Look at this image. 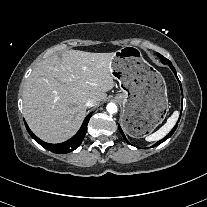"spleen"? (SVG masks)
Segmentation results:
<instances>
[{"label": "spleen", "mask_w": 207, "mask_h": 207, "mask_svg": "<svg viewBox=\"0 0 207 207\" xmlns=\"http://www.w3.org/2000/svg\"><path fill=\"white\" fill-rule=\"evenodd\" d=\"M178 112L175 111L173 114L167 119V122L156 132L146 137L147 141H158L165 137L170 130L174 127L175 123L178 119Z\"/></svg>", "instance_id": "1"}]
</instances>
